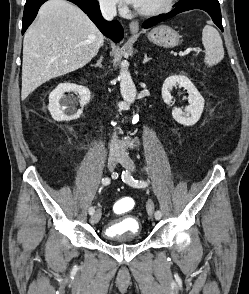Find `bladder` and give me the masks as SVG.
I'll return each instance as SVG.
<instances>
[{"label": "bladder", "mask_w": 249, "mask_h": 294, "mask_svg": "<svg viewBox=\"0 0 249 294\" xmlns=\"http://www.w3.org/2000/svg\"><path fill=\"white\" fill-rule=\"evenodd\" d=\"M142 227L138 221L131 217H125L107 225L104 238L113 240L118 238H126L136 240L139 238Z\"/></svg>", "instance_id": "obj_1"}]
</instances>
